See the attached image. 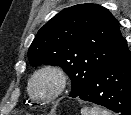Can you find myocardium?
<instances>
[{
	"label": "myocardium",
	"instance_id": "myocardium-1",
	"mask_svg": "<svg viewBox=\"0 0 131 115\" xmlns=\"http://www.w3.org/2000/svg\"><path fill=\"white\" fill-rule=\"evenodd\" d=\"M43 74H48L52 76L56 82V86H55L53 93L47 98L38 97L33 90V85H34L36 78ZM67 83H68V78H67V74L65 70L58 65L48 64V65H44L38 68L31 75L28 81V92L30 96L34 100L38 101L39 103L50 104L54 100H56L65 91L67 87Z\"/></svg>",
	"mask_w": 131,
	"mask_h": 115
}]
</instances>
